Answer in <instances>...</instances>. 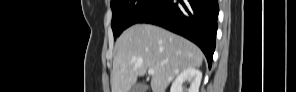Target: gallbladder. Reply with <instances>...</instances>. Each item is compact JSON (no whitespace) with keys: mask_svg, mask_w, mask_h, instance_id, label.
<instances>
[{"mask_svg":"<svg viewBox=\"0 0 296 92\" xmlns=\"http://www.w3.org/2000/svg\"><path fill=\"white\" fill-rule=\"evenodd\" d=\"M145 90H146L145 84L138 83L132 87L131 92H145Z\"/></svg>","mask_w":296,"mask_h":92,"instance_id":"gallbladder-1","label":"gallbladder"}]
</instances>
